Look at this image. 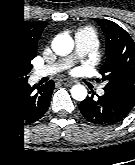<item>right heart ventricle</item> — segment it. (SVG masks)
Returning <instances> with one entry per match:
<instances>
[{"instance_id":"right-heart-ventricle-1","label":"right heart ventricle","mask_w":135,"mask_h":165,"mask_svg":"<svg viewBox=\"0 0 135 165\" xmlns=\"http://www.w3.org/2000/svg\"><path fill=\"white\" fill-rule=\"evenodd\" d=\"M78 34H87L91 37L92 41H93V45H96V36L94 34V32L90 29H82L80 31L77 32L76 35Z\"/></svg>"}]
</instances>
